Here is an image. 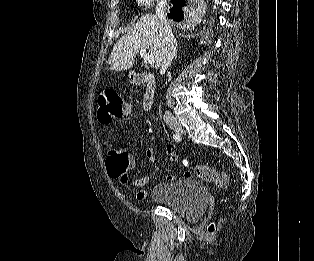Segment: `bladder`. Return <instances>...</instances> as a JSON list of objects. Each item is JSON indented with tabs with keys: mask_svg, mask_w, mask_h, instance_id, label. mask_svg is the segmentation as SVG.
<instances>
[{
	"mask_svg": "<svg viewBox=\"0 0 314 261\" xmlns=\"http://www.w3.org/2000/svg\"><path fill=\"white\" fill-rule=\"evenodd\" d=\"M150 198L187 218H196L208 207L206 186L192 180L157 184Z\"/></svg>",
	"mask_w": 314,
	"mask_h": 261,
	"instance_id": "31cf9c89",
	"label": "bladder"
}]
</instances>
